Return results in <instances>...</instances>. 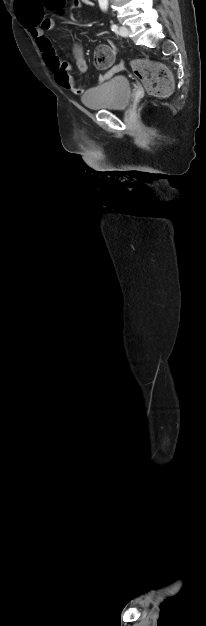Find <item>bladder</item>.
Instances as JSON below:
<instances>
[{
	"label": "bladder",
	"mask_w": 206,
	"mask_h": 626,
	"mask_svg": "<svg viewBox=\"0 0 206 626\" xmlns=\"http://www.w3.org/2000/svg\"><path fill=\"white\" fill-rule=\"evenodd\" d=\"M132 97V87L124 76H114L97 87L88 90L82 104L91 110H123Z\"/></svg>",
	"instance_id": "31cf9c89"
}]
</instances>
